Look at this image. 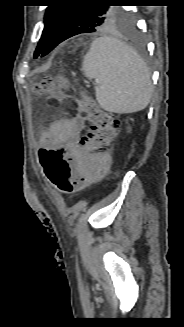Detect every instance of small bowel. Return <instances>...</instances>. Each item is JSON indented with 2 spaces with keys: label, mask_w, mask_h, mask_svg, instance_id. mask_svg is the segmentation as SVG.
I'll return each mask as SVG.
<instances>
[{
  "label": "small bowel",
  "mask_w": 184,
  "mask_h": 327,
  "mask_svg": "<svg viewBox=\"0 0 184 327\" xmlns=\"http://www.w3.org/2000/svg\"><path fill=\"white\" fill-rule=\"evenodd\" d=\"M85 129V118L81 114H78L72 118H65L60 119L55 122H53L49 128L45 131V133L42 136V144L43 148H58L59 153L63 154L64 149L67 148L68 145L77 143L81 139V136L83 134V131ZM104 158V163L100 164L98 163H91V158ZM69 160H76L77 154L76 153H69L68 154ZM112 163L111 156L108 154L104 155H96L87 158L85 164L81 169L86 170V184L95 181L102 177L110 168ZM43 165H49V164H42ZM96 166V171H91V166ZM85 184V185H86ZM84 185H77V188L82 187ZM76 188V189H77ZM76 189H73L76 190ZM35 194H37L39 191L35 189L33 191Z\"/></svg>",
  "instance_id": "small-bowel-1"
}]
</instances>
